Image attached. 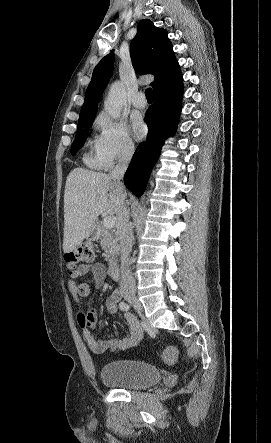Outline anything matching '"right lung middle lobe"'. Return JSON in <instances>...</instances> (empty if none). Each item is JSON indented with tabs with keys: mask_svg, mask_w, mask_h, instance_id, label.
<instances>
[{
	"mask_svg": "<svg viewBox=\"0 0 271 443\" xmlns=\"http://www.w3.org/2000/svg\"><path fill=\"white\" fill-rule=\"evenodd\" d=\"M94 119L95 116L79 119L76 137L71 146L72 155H74L83 146Z\"/></svg>",
	"mask_w": 271,
	"mask_h": 443,
	"instance_id": "right-lung-middle-lobe-1",
	"label": "right lung middle lobe"
}]
</instances>
